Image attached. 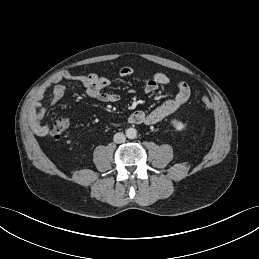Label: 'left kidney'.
<instances>
[{
	"label": "left kidney",
	"instance_id": "obj_1",
	"mask_svg": "<svg viewBox=\"0 0 259 259\" xmlns=\"http://www.w3.org/2000/svg\"><path fill=\"white\" fill-rule=\"evenodd\" d=\"M171 124L177 131H182L183 129H185V125L176 119L172 120Z\"/></svg>",
	"mask_w": 259,
	"mask_h": 259
}]
</instances>
